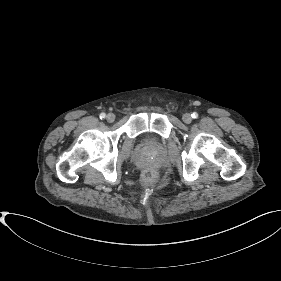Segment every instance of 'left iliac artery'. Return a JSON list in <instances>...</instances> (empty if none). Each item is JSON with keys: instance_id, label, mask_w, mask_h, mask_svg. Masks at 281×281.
Segmentation results:
<instances>
[{"instance_id": "1", "label": "left iliac artery", "mask_w": 281, "mask_h": 281, "mask_svg": "<svg viewBox=\"0 0 281 281\" xmlns=\"http://www.w3.org/2000/svg\"><path fill=\"white\" fill-rule=\"evenodd\" d=\"M191 116H192V118L196 119V118L198 117V114H197L196 112H193V113L191 114Z\"/></svg>"}]
</instances>
